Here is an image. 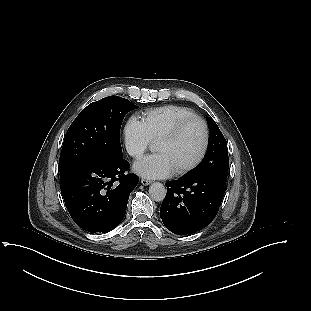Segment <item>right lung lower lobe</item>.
Wrapping results in <instances>:
<instances>
[{
    "mask_svg": "<svg viewBox=\"0 0 311 311\" xmlns=\"http://www.w3.org/2000/svg\"><path fill=\"white\" fill-rule=\"evenodd\" d=\"M123 158L86 160L60 173V188L66 207L77 225L88 232L107 233L126 213L131 191L139 179L127 174Z\"/></svg>",
    "mask_w": 311,
    "mask_h": 311,
    "instance_id": "right-lung-lower-lobe-1",
    "label": "right lung lower lobe"
}]
</instances>
